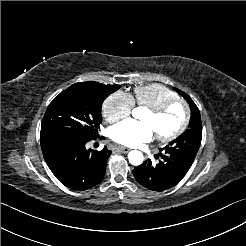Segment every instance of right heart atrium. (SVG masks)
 Here are the masks:
<instances>
[{
    "mask_svg": "<svg viewBox=\"0 0 246 246\" xmlns=\"http://www.w3.org/2000/svg\"><path fill=\"white\" fill-rule=\"evenodd\" d=\"M134 107L133 97L126 91L117 90L111 93L102 104V114L109 123L127 118Z\"/></svg>",
    "mask_w": 246,
    "mask_h": 246,
    "instance_id": "right-heart-atrium-1",
    "label": "right heart atrium"
}]
</instances>
